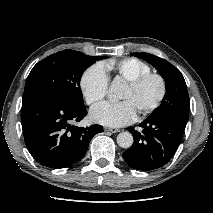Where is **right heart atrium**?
I'll return each instance as SVG.
<instances>
[{"label":"right heart atrium","mask_w":213,"mask_h":213,"mask_svg":"<svg viewBox=\"0 0 213 213\" xmlns=\"http://www.w3.org/2000/svg\"><path fill=\"white\" fill-rule=\"evenodd\" d=\"M108 85L109 78L101 64L88 67L80 79L82 95L89 105H94L105 98Z\"/></svg>","instance_id":"right-heart-atrium-1"}]
</instances>
